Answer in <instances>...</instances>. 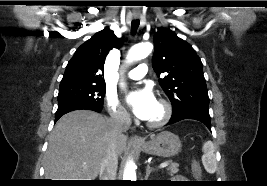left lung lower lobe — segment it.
<instances>
[{
    "mask_svg": "<svg viewBox=\"0 0 267 186\" xmlns=\"http://www.w3.org/2000/svg\"><path fill=\"white\" fill-rule=\"evenodd\" d=\"M184 119H194L204 123L211 130V118L209 112L203 110H186L172 115L168 124H173Z\"/></svg>",
    "mask_w": 267,
    "mask_h": 186,
    "instance_id": "0a47b994",
    "label": "left lung lower lobe"
}]
</instances>
